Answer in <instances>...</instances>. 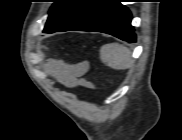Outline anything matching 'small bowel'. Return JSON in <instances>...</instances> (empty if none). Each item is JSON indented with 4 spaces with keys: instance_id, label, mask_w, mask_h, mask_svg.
<instances>
[{
    "instance_id": "c3829d8e",
    "label": "small bowel",
    "mask_w": 182,
    "mask_h": 140,
    "mask_svg": "<svg viewBox=\"0 0 182 140\" xmlns=\"http://www.w3.org/2000/svg\"><path fill=\"white\" fill-rule=\"evenodd\" d=\"M88 65L82 63L55 74V79L66 87L82 86L91 88L92 84L83 79Z\"/></svg>"
}]
</instances>
